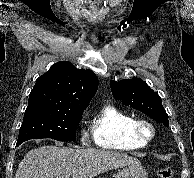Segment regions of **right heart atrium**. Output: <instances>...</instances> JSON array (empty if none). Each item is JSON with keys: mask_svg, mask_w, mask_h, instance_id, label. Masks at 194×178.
Here are the masks:
<instances>
[{"mask_svg": "<svg viewBox=\"0 0 194 178\" xmlns=\"http://www.w3.org/2000/svg\"><path fill=\"white\" fill-rule=\"evenodd\" d=\"M83 140H84V141L86 140V137H85V135H83Z\"/></svg>", "mask_w": 194, "mask_h": 178, "instance_id": "obj_1", "label": "right heart atrium"}]
</instances>
